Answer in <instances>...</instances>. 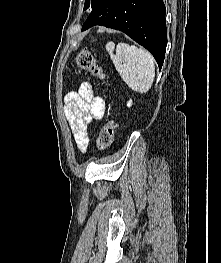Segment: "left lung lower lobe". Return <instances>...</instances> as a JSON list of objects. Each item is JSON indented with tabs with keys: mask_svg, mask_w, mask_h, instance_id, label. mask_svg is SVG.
<instances>
[{
	"mask_svg": "<svg viewBox=\"0 0 221 263\" xmlns=\"http://www.w3.org/2000/svg\"><path fill=\"white\" fill-rule=\"evenodd\" d=\"M165 13L163 0H103L82 28L102 25L124 32L146 48L161 69L167 45Z\"/></svg>",
	"mask_w": 221,
	"mask_h": 263,
	"instance_id": "obj_1",
	"label": "left lung lower lobe"
}]
</instances>
